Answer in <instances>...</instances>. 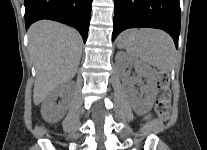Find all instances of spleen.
Segmentation results:
<instances>
[{"instance_id": "obj_1", "label": "spleen", "mask_w": 207, "mask_h": 150, "mask_svg": "<svg viewBox=\"0 0 207 150\" xmlns=\"http://www.w3.org/2000/svg\"><path fill=\"white\" fill-rule=\"evenodd\" d=\"M135 41L126 47L129 56L139 57L164 72H170L175 61V45L163 30L145 28L135 33Z\"/></svg>"}]
</instances>
